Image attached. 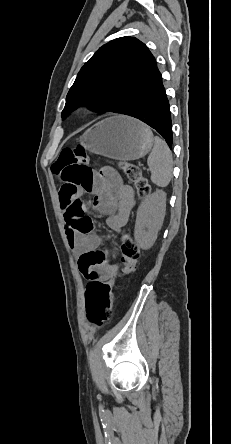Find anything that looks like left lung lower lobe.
<instances>
[{
    "label": "left lung lower lobe",
    "instance_id": "left-lung-lower-lobe-1",
    "mask_svg": "<svg viewBox=\"0 0 231 444\" xmlns=\"http://www.w3.org/2000/svg\"><path fill=\"white\" fill-rule=\"evenodd\" d=\"M117 113L135 117L151 126L172 148L173 135L170 106L156 62L143 76L135 91L128 97Z\"/></svg>",
    "mask_w": 231,
    "mask_h": 444
}]
</instances>
